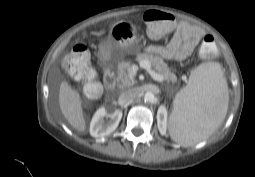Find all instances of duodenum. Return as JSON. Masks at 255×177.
<instances>
[{
  "instance_id": "obj_1",
  "label": "duodenum",
  "mask_w": 255,
  "mask_h": 177,
  "mask_svg": "<svg viewBox=\"0 0 255 177\" xmlns=\"http://www.w3.org/2000/svg\"><path fill=\"white\" fill-rule=\"evenodd\" d=\"M104 70V85L109 91H114L116 88V80L111 69L105 65L103 67Z\"/></svg>"
}]
</instances>
